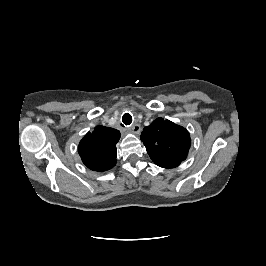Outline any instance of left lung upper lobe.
<instances>
[{
    "label": "left lung upper lobe",
    "instance_id": "left-lung-upper-lobe-1",
    "mask_svg": "<svg viewBox=\"0 0 266 266\" xmlns=\"http://www.w3.org/2000/svg\"><path fill=\"white\" fill-rule=\"evenodd\" d=\"M141 141L153 162L163 168L177 167L186 159L191 144L185 128L163 118L143 129Z\"/></svg>",
    "mask_w": 266,
    "mask_h": 266
}]
</instances>
